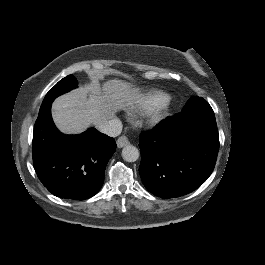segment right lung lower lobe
I'll return each instance as SVG.
<instances>
[{
	"label": "right lung lower lobe",
	"mask_w": 265,
	"mask_h": 265,
	"mask_svg": "<svg viewBox=\"0 0 265 265\" xmlns=\"http://www.w3.org/2000/svg\"><path fill=\"white\" fill-rule=\"evenodd\" d=\"M115 150L114 139L94 128L79 135L60 133L51 117V105L39 112L33 132V165L53 195L73 200L94 196Z\"/></svg>",
	"instance_id": "right-lung-lower-lobe-1"
}]
</instances>
